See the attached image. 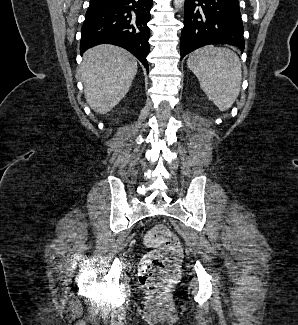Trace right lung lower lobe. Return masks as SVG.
<instances>
[{
	"label": "right lung lower lobe",
	"instance_id": "98d812e1",
	"mask_svg": "<svg viewBox=\"0 0 298 325\" xmlns=\"http://www.w3.org/2000/svg\"><path fill=\"white\" fill-rule=\"evenodd\" d=\"M152 0H90L82 26L81 54L98 44L125 48L149 71L146 56L150 51Z\"/></svg>",
	"mask_w": 298,
	"mask_h": 325
}]
</instances>
